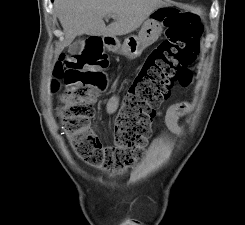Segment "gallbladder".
<instances>
[{"label": "gallbladder", "mask_w": 245, "mask_h": 225, "mask_svg": "<svg viewBox=\"0 0 245 225\" xmlns=\"http://www.w3.org/2000/svg\"><path fill=\"white\" fill-rule=\"evenodd\" d=\"M84 46H85L84 39L79 38L69 46L68 52L70 54H80L84 49Z\"/></svg>", "instance_id": "bac80fb5"}]
</instances>
